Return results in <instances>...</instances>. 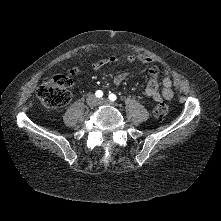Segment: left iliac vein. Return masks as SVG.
<instances>
[{
	"label": "left iliac vein",
	"mask_w": 221,
	"mask_h": 221,
	"mask_svg": "<svg viewBox=\"0 0 221 221\" xmlns=\"http://www.w3.org/2000/svg\"><path fill=\"white\" fill-rule=\"evenodd\" d=\"M99 104H104V105H113V103H111L108 99L106 98H101L98 100Z\"/></svg>",
	"instance_id": "left-iliac-vein-1"
}]
</instances>
